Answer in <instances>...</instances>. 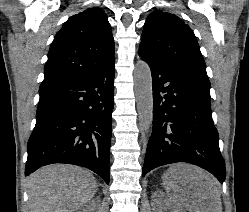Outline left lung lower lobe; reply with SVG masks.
<instances>
[{
  "label": "left lung lower lobe",
  "instance_id": "left-lung-lower-lobe-1",
  "mask_svg": "<svg viewBox=\"0 0 249 212\" xmlns=\"http://www.w3.org/2000/svg\"><path fill=\"white\" fill-rule=\"evenodd\" d=\"M152 74L153 127L142 175L176 162H187L225 180V162L212 120L210 82L159 60L142 57Z\"/></svg>",
  "mask_w": 249,
  "mask_h": 212
}]
</instances>
